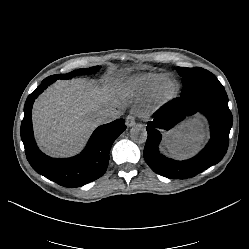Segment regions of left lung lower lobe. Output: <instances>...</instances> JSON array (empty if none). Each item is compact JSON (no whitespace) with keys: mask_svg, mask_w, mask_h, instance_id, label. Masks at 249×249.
Listing matches in <instances>:
<instances>
[{"mask_svg":"<svg viewBox=\"0 0 249 249\" xmlns=\"http://www.w3.org/2000/svg\"><path fill=\"white\" fill-rule=\"evenodd\" d=\"M203 114L209 121L211 138L205 148L195 157L176 161L166 158L158 150L160 129L168 130L195 113ZM232 114L223 86H212L182 95L164 104L153 121L146 127L148 137L144 147V159L150 168L167 178L187 179L217 164L226 154Z\"/></svg>","mask_w":249,"mask_h":249,"instance_id":"left-lung-lower-lobe-1","label":"left lung lower lobe"}]
</instances>
